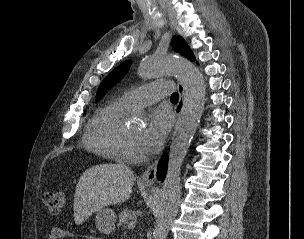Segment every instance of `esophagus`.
Returning a JSON list of instances; mask_svg holds the SVG:
<instances>
[{
	"mask_svg": "<svg viewBox=\"0 0 304 239\" xmlns=\"http://www.w3.org/2000/svg\"><path fill=\"white\" fill-rule=\"evenodd\" d=\"M177 88L179 91V101L175 107V114L178 118L184 107L185 88L181 82L177 83ZM157 165L158 159L154 160L147 166L146 170L139 178L141 183L153 184L156 181Z\"/></svg>",
	"mask_w": 304,
	"mask_h": 239,
	"instance_id": "obj_1",
	"label": "esophagus"
}]
</instances>
